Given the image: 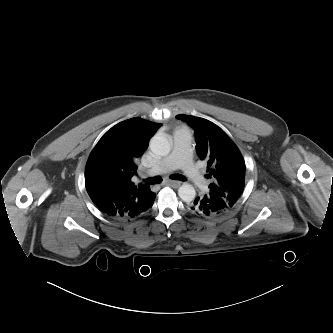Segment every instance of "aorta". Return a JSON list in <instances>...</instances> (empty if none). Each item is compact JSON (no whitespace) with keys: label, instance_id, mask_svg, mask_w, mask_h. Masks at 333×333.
<instances>
[{"label":"aorta","instance_id":"1","mask_svg":"<svg viewBox=\"0 0 333 333\" xmlns=\"http://www.w3.org/2000/svg\"><path fill=\"white\" fill-rule=\"evenodd\" d=\"M151 151L159 156L169 154L171 145L168 137L165 134H155L150 141ZM178 195L184 202H192L196 196L195 188L191 184L184 183L178 189Z\"/></svg>","mask_w":333,"mask_h":333}]
</instances>
